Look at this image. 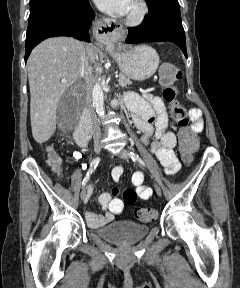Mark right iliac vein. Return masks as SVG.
<instances>
[{"label": "right iliac vein", "instance_id": "63e3f726", "mask_svg": "<svg viewBox=\"0 0 240 288\" xmlns=\"http://www.w3.org/2000/svg\"><path fill=\"white\" fill-rule=\"evenodd\" d=\"M100 150H101V147H100L99 145H96V146L94 147V153H95V154H99V153H100ZM85 196H86V187L84 186V187L82 188V191H81V199L84 200Z\"/></svg>", "mask_w": 240, "mask_h": 288}]
</instances>
